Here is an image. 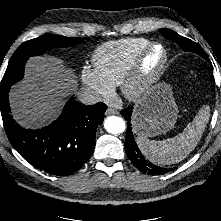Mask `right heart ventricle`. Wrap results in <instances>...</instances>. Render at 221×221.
Masks as SVG:
<instances>
[{"label": "right heart ventricle", "mask_w": 221, "mask_h": 221, "mask_svg": "<svg viewBox=\"0 0 221 221\" xmlns=\"http://www.w3.org/2000/svg\"><path fill=\"white\" fill-rule=\"evenodd\" d=\"M150 41L142 37L122 38L98 46L92 55L94 69L112 87L120 85L137 54Z\"/></svg>", "instance_id": "obj_1"}]
</instances>
